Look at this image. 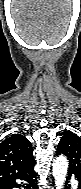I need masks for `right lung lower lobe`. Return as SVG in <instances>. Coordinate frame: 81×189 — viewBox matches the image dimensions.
<instances>
[{
	"label": "right lung lower lobe",
	"mask_w": 81,
	"mask_h": 189,
	"mask_svg": "<svg viewBox=\"0 0 81 189\" xmlns=\"http://www.w3.org/2000/svg\"><path fill=\"white\" fill-rule=\"evenodd\" d=\"M37 177L34 165L28 170L16 175L8 181L0 182V189H13L23 187L24 189H37ZM20 180L22 184L16 181Z\"/></svg>",
	"instance_id": "right-lung-lower-lobe-1"
}]
</instances>
